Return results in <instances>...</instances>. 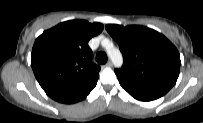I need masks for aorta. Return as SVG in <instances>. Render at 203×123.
I'll return each instance as SVG.
<instances>
[{
	"mask_svg": "<svg viewBox=\"0 0 203 123\" xmlns=\"http://www.w3.org/2000/svg\"><path fill=\"white\" fill-rule=\"evenodd\" d=\"M107 54L112 60L115 67H121L123 63L122 54L119 49L111 47L107 48Z\"/></svg>",
	"mask_w": 203,
	"mask_h": 123,
	"instance_id": "obj_1",
	"label": "aorta"
}]
</instances>
